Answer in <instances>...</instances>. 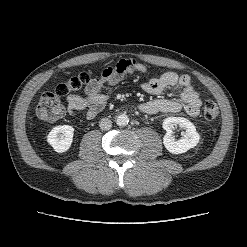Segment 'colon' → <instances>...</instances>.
<instances>
[{"instance_id":"obj_1","label":"colon","mask_w":247,"mask_h":247,"mask_svg":"<svg viewBox=\"0 0 247 247\" xmlns=\"http://www.w3.org/2000/svg\"><path fill=\"white\" fill-rule=\"evenodd\" d=\"M92 76V71L82 72L59 84L55 92L44 93L40 97L36 108L37 116L46 122H54L59 119L64 113L60 95L80 92L92 81ZM203 115L208 121L215 120L219 115V109L216 103L206 101L203 107Z\"/></svg>"}]
</instances>
